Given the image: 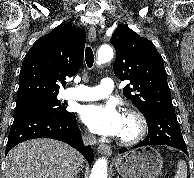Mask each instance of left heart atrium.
<instances>
[{"label": "left heart atrium", "instance_id": "left-heart-atrium-1", "mask_svg": "<svg viewBox=\"0 0 194 178\" xmlns=\"http://www.w3.org/2000/svg\"><path fill=\"white\" fill-rule=\"evenodd\" d=\"M80 118L96 134L120 136L123 130V115L111 104H91L82 107Z\"/></svg>", "mask_w": 194, "mask_h": 178}]
</instances>
